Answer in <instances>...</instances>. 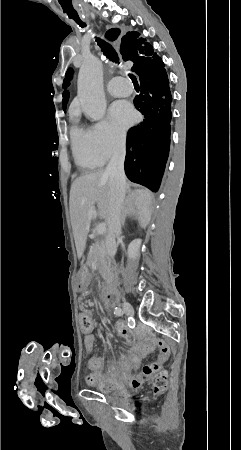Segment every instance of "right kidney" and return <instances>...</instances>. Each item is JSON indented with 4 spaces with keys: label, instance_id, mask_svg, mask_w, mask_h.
I'll return each instance as SVG.
<instances>
[{
    "label": "right kidney",
    "instance_id": "obj_1",
    "mask_svg": "<svg viewBox=\"0 0 241 450\" xmlns=\"http://www.w3.org/2000/svg\"><path fill=\"white\" fill-rule=\"evenodd\" d=\"M142 244V240H140V238H137V240H133V242H131V244H129L128 246V258H130V260H136V258H139L140 254H139V250H140V246Z\"/></svg>",
    "mask_w": 241,
    "mask_h": 450
}]
</instances>
